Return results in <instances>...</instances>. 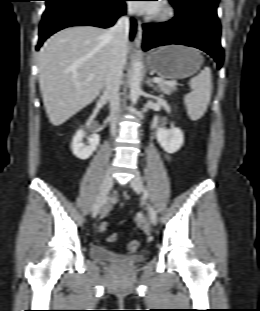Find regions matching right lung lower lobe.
I'll list each match as a JSON object with an SVG mask.
<instances>
[{
  "label": "right lung lower lobe",
  "instance_id": "obj_1",
  "mask_svg": "<svg viewBox=\"0 0 260 311\" xmlns=\"http://www.w3.org/2000/svg\"><path fill=\"white\" fill-rule=\"evenodd\" d=\"M39 29V50L53 33L70 26L91 25L102 28L112 26L118 17L125 14V0H45ZM136 27L132 19L131 38Z\"/></svg>",
  "mask_w": 260,
  "mask_h": 311
}]
</instances>
